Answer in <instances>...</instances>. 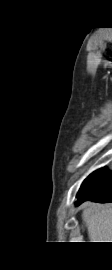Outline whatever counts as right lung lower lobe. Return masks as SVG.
<instances>
[{
    "label": "right lung lower lobe",
    "mask_w": 112,
    "mask_h": 270,
    "mask_svg": "<svg viewBox=\"0 0 112 270\" xmlns=\"http://www.w3.org/2000/svg\"><path fill=\"white\" fill-rule=\"evenodd\" d=\"M82 190L76 205L88 200L100 203L112 202V172L106 168L95 171L83 182Z\"/></svg>",
    "instance_id": "obj_1"
}]
</instances>
